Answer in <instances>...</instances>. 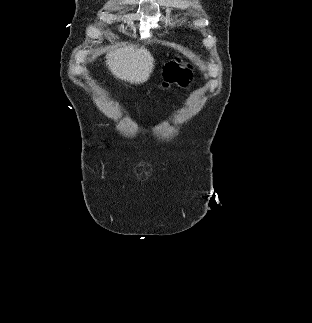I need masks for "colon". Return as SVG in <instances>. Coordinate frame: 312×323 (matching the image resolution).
I'll return each instance as SVG.
<instances>
[{
  "label": "colon",
  "mask_w": 312,
  "mask_h": 323,
  "mask_svg": "<svg viewBox=\"0 0 312 323\" xmlns=\"http://www.w3.org/2000/svg\"><path fill=\"white\" fill-rule=\"evenodd\" d=\"M165 78L164 86H167L169 82L187 86L192 79V71L182 68L178 62H173L167 67Z\"/></svg>",
  "instance_id": "colon-1"
}]
</instances>
